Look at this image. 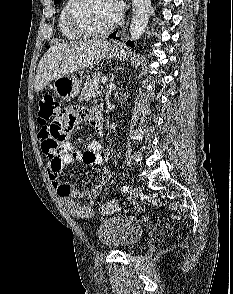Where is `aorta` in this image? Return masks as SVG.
Instances as JSON below:
<instances>
[{"mask_svg": "<svg viewBox=\"0 0 233 294\" xmlns=\"http://www.w3.org/2000/svg\"><path fill=\"white\" fill-rule=\"evenodd\" d=\"M132 6L130 36L132 40L137 41L142 37L147 27L151 0H132Z\"/></svg>", "mask_w": 233, "mask_h": 294, "instance_id": "obj_1", "label": "aorta"}]
</instances>
